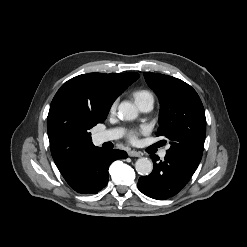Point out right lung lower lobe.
Instances as JSON below:
<instances>
[{"label": "right lung lower lobe", "instance_id": "1", "mask_svg": "<svg viewBox=\"0 0 247 247\" xmlns=\"http://www.w3.org/2000/svg\"><path fill=\"white\" fill-rule=\"evenodd\" d=\"M121 150L92 147L75 156L60 170L67 183L78 193H97L108 182V168L118 158H126Z\"/></svg>", "mask_w": 247, "mask_h": 247}]
</instances>
